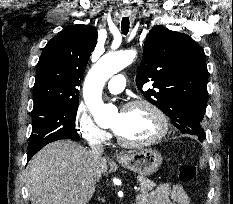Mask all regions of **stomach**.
<instances>
[{
  "label": "stomach",
  "instance_id": "0dacf381",
  "mask_svg": "<svg viewBox=\"0 0 233 204\" xmlns=\"http://www.w3.org/2000/svg\"><path fill=\"white\" fill-rule=\"evenodd\" d=\"M163 158L159 151L145 148L124 154L118 162L126 169L139 176H149L155 173L162 164Z\"/></svg>",
  "mask_w": 233,
  "mask_h": 204
}]
</instances>
